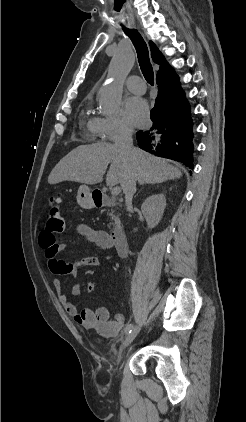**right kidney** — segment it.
I'll return each instance as SVG.
<instances>
[{
	"label": "right kidney",
	"instance_id": "right-kidney-1",
	"mask_svg": "<svg viewBox=\"0 0 246 422\" xmlns=\"http://www.w3.org/2000/svg\"><path fill=\"white\" fill-rule=\"evenodd\" d=\"M165 207L166 198L163 194L151 195L142 203L141 211L149 229L156 227L161 221Z\"/></svg>",
	"mask_w": 246,
	"mask_h": 422
}]
</instances>
